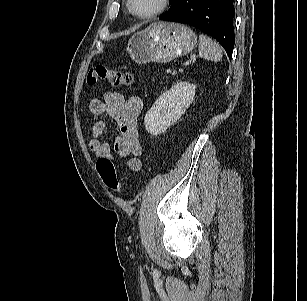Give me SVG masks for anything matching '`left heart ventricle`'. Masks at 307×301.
<instances>
[{
	"label": "left heart ventricle",
	"mask_w": 307,
	"mask_h": 301,
	"mask_svg": "<svg viewBox=\"0 0 307 301\" xmlns=\"http://www.w3.org/2000/svg\"><path fill=\"white\" fill-rule=\"evenodd\" d=\"M161 0H132L133 9L140 14H147L154 11Z\"/></svg>",
	"instance_id": "1"
}]
</instances>
